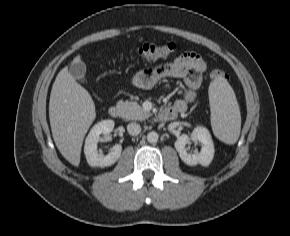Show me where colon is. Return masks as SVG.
<instances>
[{
    "instance_id": "colon-1",
    "label": "colon",
    "mask_w": 290,
    "mask_h": 236,
    "mask_svg": "<svg viewBox=\"0 0 290 236\" xmlns=\"http://www.w3.org/2000/svg\"><path fill=\"white\" fill-rule=\"evenodd\" d=\"M175 51L174 43L166 44H144L136 51L138 57L146 61H152L170 56ZM210 77L213 80L226 78L224 71L214 69L210 72Z\"/></svg>"
}]
</instances>
